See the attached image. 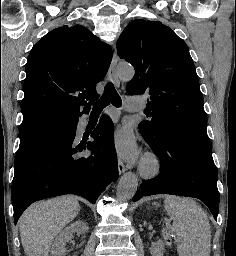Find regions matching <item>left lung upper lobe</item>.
I'll return each instance as SVG.
<instances>
[{
	"label": "left lung upper lobe",
	"mask_w": 236,
	"mask_h": 256,
	"mask_svg": "<svg viewBox=\"0 0 236 256\" xmlns=\"http://www.w3.org/2000/svg\"><path fill=\"white\" fill-rule=\"evenodd\" d=\"M120 58L135 69L130 95L146 94L151 121L138 125L143 137L158 142L166 131L210 142L203 96L189 48L158 21H132L117 42Z\"/></svg>",
	"instance_id": "left-lung-upper-lobe-1"
}]
</instances>
